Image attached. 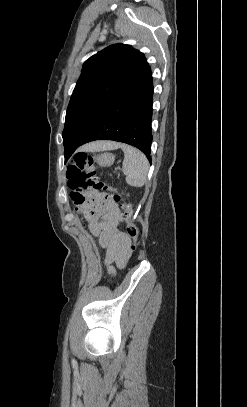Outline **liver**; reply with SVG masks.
Returning a JSON list of instances; mask_svg holds the SVG:
<instances>
[{
  "label": "liver",
  "mask_w": 247,
  "mask_h": 407,
  "mask_svg": "<svg viewBox=\"0 0 247 407\" xmlns=\"http://www.w3.org/2000/svg\"><path fill=\"white\" fill-rule=\"evenodd\" d=\"M120 147V143L112 142V141H99L88 144L84 146L82 149L87 151H100V150H107V149H116Z\"/></svg>",
  "instance_id": "6515ba94"
}]
</instances>
